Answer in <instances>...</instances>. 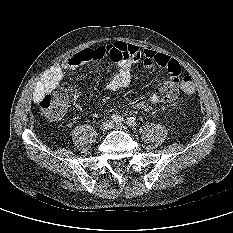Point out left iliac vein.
<instances>
[{"label": "left iliac vein", "instance_id": "4c4485c4", "mask_svg": "<svg viewBox=\"0 0 233 233\" xmlns=\"http://www.w3.org/2000/svg\"><path fill=\"white\" fill-rule=\"evenodd\" d=\"M111 128H114L116 130H126V126L122 125V124H112V127Z\"/></svg>", "mask_w": 233, "mask_h": 233}]
</instances>
